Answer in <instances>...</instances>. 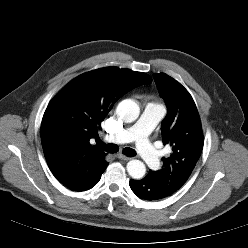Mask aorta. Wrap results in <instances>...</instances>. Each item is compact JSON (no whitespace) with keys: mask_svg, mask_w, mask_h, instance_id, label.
Returning a JSON list of instances; mask_svg holds the SVG:
<instances>
[{"mask_svg":"<svg viewBox=\"0 0 248 248\" xmlns=\"http://www.w3.org/2000/svg\"><path fill=\"white\" fill-rule=\"evenodd\" d=\"M139 113L138 104L131 99L121 101L116 108L117 116L127 123L135 121ZM127 172L133 179H141L146 173L145 164L140 160H131L127 163Z\"/></svg>","mask_w":248,"mask_h":248,"instance_id":"1","label":"aorta"}]
</instances>
